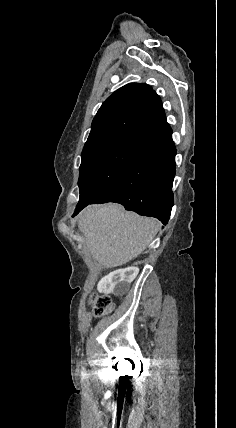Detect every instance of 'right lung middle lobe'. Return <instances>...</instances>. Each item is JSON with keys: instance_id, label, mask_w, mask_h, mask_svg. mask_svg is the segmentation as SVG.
Listing matches in <instances>:
<instances>
[{"instance_id": "dd1d6c3e", "label": "right lung middle lobe", "mask_w": 236, "mask_h": 428, "mask_svg": "<svg viewBox=\"0 0 236 428\" xmlns=\"http://www.w3.org/2000/svg\"><path fill=\"white\" fill-rule=\"evenodd\" d=\"M141 147V141H126L82 159L77 207L89 203L111 186L133 162Z\"/></svg>"}]
</instances>
